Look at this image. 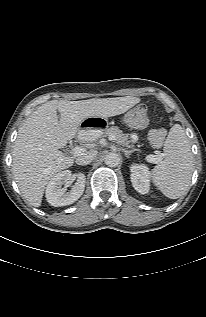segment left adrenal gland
<instances>
[{
    "label": "left adrenal gland",
    "instance_id": "obj_1",
    "mask_svg": "<svg viewBox=\"0 0 206 317\" xmlns=\"http://www.w3.org/2000/svg\"><path fill=\"white\" fill-rule=\"evenodd\" d=\"M122 151L124 152L127 158H129L130 154L133 152V150H126V149H122Z\"/></svg>",
    "mask_w": 206,
    "mask_h": 317
}]
</instances>
